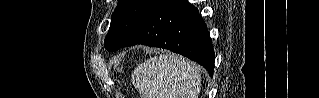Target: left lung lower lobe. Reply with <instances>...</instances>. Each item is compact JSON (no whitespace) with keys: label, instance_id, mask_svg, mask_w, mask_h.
<instances>
[{"label":"left lung lower lobe","instance_id":"1","mask_svg":"<svg viewBox=\"0 0 319 98\" xmlns=\"http://www.w3.org/2000/svg\"><path fill=\"white\" fill-rule=\"evenodd\" d=\"M144 44L169 49L214 71V50L197 8L186 0H157L144 21L122 46Z\"/></svg>","mask_w":319,"mask_h":98}]
</instances>
